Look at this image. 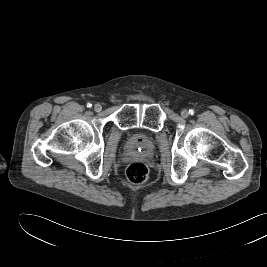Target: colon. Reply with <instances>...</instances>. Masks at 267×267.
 <instances>
[{
  "label": "colon",
  "instance_id": "colon-1",
  "mask_svg": "<svg viewBox=\"0 0 267 267\" xmlns=\"http://www.w3.org/2000/svg\"><path fill=\"white\" fill-rule=\"evenodd\" d=\"M149 170L147 166L140 162L131 163L126 169L128 180L134 184H141L148 178Z\"/></svg>",
  "mask_w": 267,
  "mask_h": 267
}]
</instances>
